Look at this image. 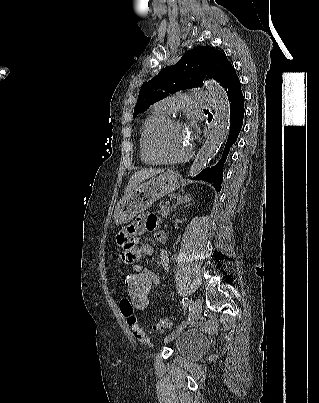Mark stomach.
Listing matches in <instances>:
<instances>
[{
    "label": "stomach",
    "mask_w": 319,
    "mask_h": 403,
    "mask_svg": "<svg viewBox=\"0 0 319 403\" xmlns=\"http://www.w3.org/2000/svg\"><path fill=\"white\" fill-rule=\"evenodd\" d=\"M179 186L180 175L174 171H167L140 183L117 204L114 213L115 223L119 225L130 222L156 200L176 191Z\"/></svg>",
    "instance_id": "1"
}]
</instances>
